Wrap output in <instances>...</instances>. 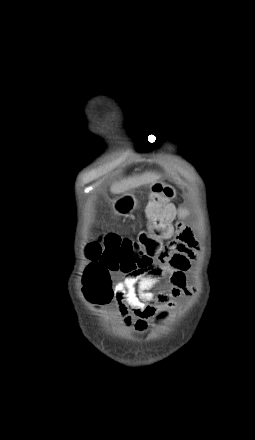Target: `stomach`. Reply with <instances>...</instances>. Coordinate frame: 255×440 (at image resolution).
Here are the masks:
<instances>
[{
  "label": "stomach",
  "mask_w": 255,
  "mask_h": 440,
  "mask_svg": "<svg viewBox=\"0 0 255 440\" xmlns=\"http://www.w3.org/2000/svg\"><path fill=\"white\" fill-rule=\"evenodd\" d=\"M137 208V199L133 193H125L116 198L112 203V209L119 216H128Z\"/></svg>",
  "instance_id": "stomach-1"
}]
</instances>
